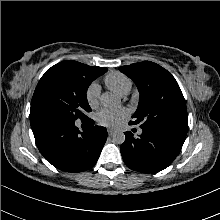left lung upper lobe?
<instances>
[{
  "mask_svg": "<svg viewBox=\"0 0 220 220\" xmlns=\"http://www.w3.org/2000/svg\"><path fill=\"white\" fill-rule=\"evenodd\" d=\"M119 70L131 78L140 93L130 125L165 133L182 142L188 130L186 104L175 78L160 65L144 61Z\"/></svg>",
  "mask_w": 220,
  "mask_h": 220,
  "instance_id": "obj_1",
  "label": "left lung upper lobe"
}]
</instances>
